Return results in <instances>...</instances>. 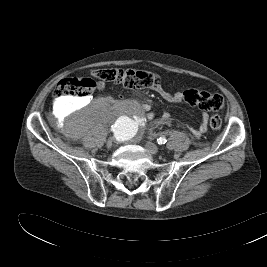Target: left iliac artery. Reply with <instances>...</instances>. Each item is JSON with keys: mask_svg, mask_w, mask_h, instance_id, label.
Listing matches in <instances>:
<instances>
[{"mask_svg": "<svg viewBox=\"0 0 267 267\" xmlns=\"http://www.w3.org/2000/svg\"><path fill=\"white\" fill-rule=\"evenodd\" d=\"M166 142H167V139H166L165 137H159V138L157 139V143H158L159 145L165 144Z\"/></svg>", "mask_w": 267, "mask_h": 267, "instance_id": "44dca946", "label": "left iliac artery"}]
</instances>
